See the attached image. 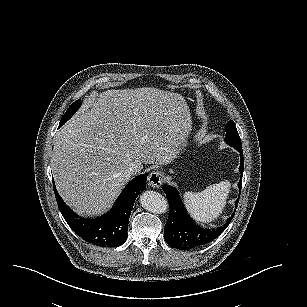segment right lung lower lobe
I'll return each instance as SVG.
<instances>
[{
  "instance_id": "right-lung-lower-lobe-1",
  "label": "right lung lower lobe",
  "mask_w": 307,
  "mask_h": 307,
  "mask_svg": "<svg viewBox=\"0 0 307 307\" xmlns=\"http://www.w3.org/2000/svg\"><path fill=\"white\" fill-rule=\"evenodd\" d=\"M146 179L147 174H142L131 180L113 208L107 214L96 219L79 217L64 203L55 186L54 192L60 212L78 236L96 246L117 247L122 245L128 237V221L133 204L140 191L145 189Z\"/></svg>"
}]
</instances>
